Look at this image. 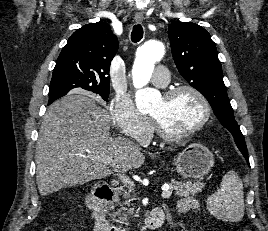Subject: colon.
Masks as SVG:
<instances>
[{
    "mask_svg": "<svg viewBox=\"0 0 268 231\" xmlns=\"http://www.w3.org/2000/svg\"><path fill=\"white\" fill-rule=\"evenodd\" d=\"M43 231H53V229L50 226H46L44 227ZM248 231H252V230H248Z\"/></svg>",
    "mask_w": 268,
    "mask_h": 231,
    "instance_id": "1",
    "label": "colon"
}]
</instances>
